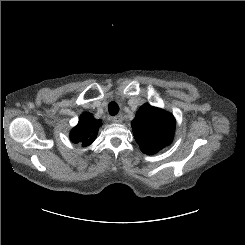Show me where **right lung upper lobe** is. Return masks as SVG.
I'll use <instances>...</instances> for the list:
<instances>
[{
	"label": "right lung upper lobe",
	"instance_id": "obj_1",
	"mask_svg": "<svg viewBox=\"0 0 245 245\" xmlns=\"http://www.w3.org/2000/svg\"><path fill=\"white\" fill-rule=\"evenodd\" d=\"M100 125L101 121L95 120L88 113H83L78 125L71 131L70 138L74 143L79 142L82 146H88L95 140Z\"/></svg>",
	"mask_w": 245,
	"mask_h": 245
}]
</instances>
